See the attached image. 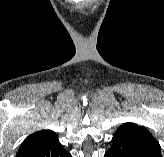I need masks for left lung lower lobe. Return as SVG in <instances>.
<instances>
[{"label":"left lung lower lobe","mask_w":164,"mask_h":157,"mask_svg":"<svg viewBox=\"0 0 164 157\" xmlns=\"http://www.w3.org/2000/svg\"><path fill=\"white\" fill-rule=\"evenodd\" d=\"M104 157H162L148 147L126 138H112V146Z\"/></svg>","instance_id":"0a47b994"}]
</instances>
